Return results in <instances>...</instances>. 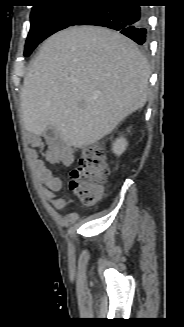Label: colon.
I'll return each mask as SVG.
<instances>
[{"mask_svg": "<svg viewBox=\"0 0 184 327\" xmlns=\"http://www.w3.org/2000/svg\"><path fill=\"white\" fill-rule=\"evenodd\" d=\"M108 175L102 146L92 144L83 151L78 166L71 172L69 188L80 202L90 204L102 196Z\"/></svg>", "mask_w": 184, "mask_h": 327, "instance_id": "5ec220e1", "label": "colon"}]
</instances>
